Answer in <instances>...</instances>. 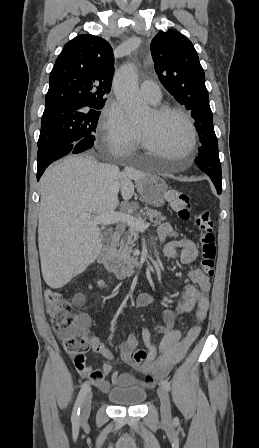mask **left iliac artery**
<instances>
[{"label":"left iliac artery","instance_id":"1","mask_svg":"<svg viewBox=\"0 0 259 448\" xmlns=\"http://www.w3.org/2000/svg\"><path fill=\"white\" fill-rule=\"evenodd\" d=\"M161 385H162V387H164L166 390H170V388H171V386H170V383L167 381V380H162L161 381ZM174 422L175 423H178V418H175L174 419Z\"/></svg>","mask_w":259,"mask_h":448}]
</instances>
